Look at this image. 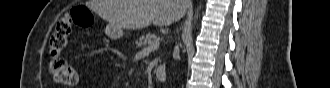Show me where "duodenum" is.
I'll list each match as a JSON object with an SVG mask.
<instances>
[{
  "label": "duodenum",
  "instance_id": "obj_1",
  "mask_svg": "<svg viewBox=\"0 0 330 88\" xmlns=\"http://www.w3.org/2000/svg\"><path fill=\"white\" fill-rule=\"evenodd\" d=\"M166 72H167L166 66H164V65H159V66L155 67V69H154L155 77L159 81H162L165 79Z\"/></svg>",
  "mask_w": 330,
  "mask_h": 88
}]
</instances>
